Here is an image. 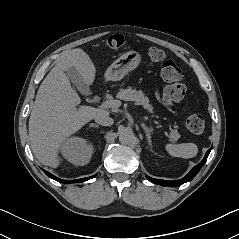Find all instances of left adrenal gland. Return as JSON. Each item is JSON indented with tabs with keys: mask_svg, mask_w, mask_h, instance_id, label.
Segmentation results:
<instances>
[{
	"mask_svg": "<svg viewBox=\"0 0 239 239\" xmlns=\"http://www.w3.org/2000/svg\"><path fill=\"white\" fill-rule=\"evenodd\" d=\"M142 128L144 129L145 133H146V138L147 141L149 143L150 146H152V140H151V132H152V128L147 127L144 123H141Z\"/></svg>",
	"mask_w": 239,
	"mask_h": 239,
	"instance_id": "obj_1",
	"label": "left adrenal gland"
}]
</instances>
